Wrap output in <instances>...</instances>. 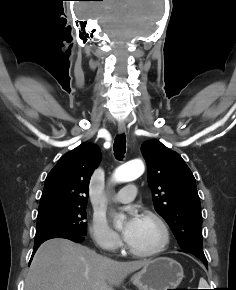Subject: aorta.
<instances>
[{
  "label": "aorta",
  "instance_id": "1",
  "mask_svg": "<svg viewBox=\"0 0 236 290\" xmlns=\"http://www.w3.org/2000/svg\"><path fill=\"white\" fill-rule=\"evenodd\" d=\"M144 169L142 161H130L115 170L113 180L118 183L134 181L143 174ZM116 226L119 228L121 226L120 222H117Z\"/></svg>",
  "mask_w": 236,
  "mask_h": 290
}]
</instances>
